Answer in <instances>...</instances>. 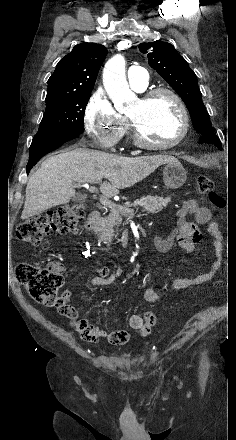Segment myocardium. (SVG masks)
I'll return each instance as SVG.
<instances>
[{
	"label": "myocardium",
	"mask_w": 236,
	"mask_h": 440,
	"mask_svg": "<svg viewBox=\"0 0 236 440\" xmlns=\"http://www.w3.org/2000/svg\"><path fill=\"white\" fill-rule=\"evenodd\" d=\"M159 95H168L176 104L178 111L181 116L182 120V127L181 131L178 134V136L172 140L169 143L165 144H155L147 141L141 134L140 130L138 129L136 123L133 121L132 118L128 117L129 126L132 132L133 140L136 145H138L141 148L147 149V150H166L173 148L180 144L188 135L189 129H190V118L189 113L187 110V107L182 100V98L172 89L167 87H157L153 88L151 90H148L144 92L141 95L140 100L143 102H148L152 98L159 96Z\"/></svg>",
	"instance_id": "1"
}]
</instances>
